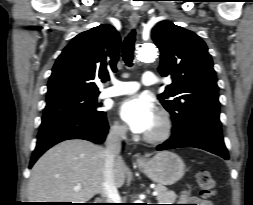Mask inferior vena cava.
I'll use <instances>...</instances> for the list:
<instances>
[{
	"mask_svg": "<svg viewBox=\"0 0 253 205\" xmlns=\"http://www.w3.org/2000/svg\"><path fill=\"white\" fill-rule=\"evenodd\" d=\"M125 126H113L105 141L103 150L104 157V182L101 190V196L104 203H118L120 197L114 179V164L116 158L120 157L121 142L126 137Z\"/></svg>",
	"mask_w": 253,
	"mask_h": 205,
	"instance_id": "obj_1",
	"label": "inferior vena cava"
}]
</instances>
